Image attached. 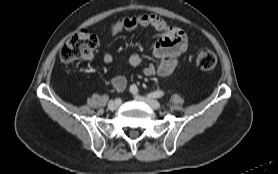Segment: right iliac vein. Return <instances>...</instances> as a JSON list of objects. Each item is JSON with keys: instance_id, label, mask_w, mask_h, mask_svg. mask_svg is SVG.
Here are the masks:
<instances>
[{"instance_id": "obj_1", "label": "right iliac vein", "mask_w": 278, "mask_h": 174, "mask_svg": "<svg viewBox=\"0 0 278 174\" xmlns=\"http://www.w3.org/2000/svg\"><path fill=\"white\" fill-rule=\"evenodd\" d=\"M120 103L116 102V101H110L108 103V109L113 111L116 110L119 107Z\"/></svg>"}]
</instances>
